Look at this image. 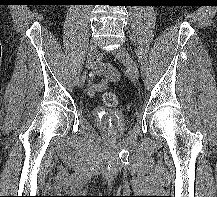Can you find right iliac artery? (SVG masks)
Returning a JSON list of instances; mask_svg holds the SVG:
<instances>
[{
	"instance_id": "right-iliac-artery-1",
	"label": "right iliac artery",
	"mask_w": 217,
	"mask_h": 197,
	"mask_svg": "<svg viewBox=\"0 0 217 197\" xmlns=\"http://www.w3.org/2000/svg\"><path fill=\"white\" fill-rule=\"evenodd\" d=\"M98 61H99V59L96 60V61L93 63L92 67H93L94 65H96Z\"/></svg>"
}]
</instances>
